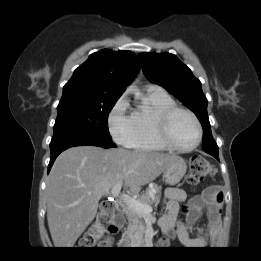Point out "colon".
<instances>
[{"label": "colon", "mask_w": 261, "mask_h": 261, "mask_svg": "<svg viewBox=\"0 0 261 261\" xmlns=\"http://www.w3.org/2000/svg\"><path fill=\"white\" fill-rule=\"evenodd\" d=\"M215 172L213 165L205 158L195 155L191 159L190 173L187 180L192 185H197ZM114 214V205L110 201L102 202L99 213L91 230L81 241L83 248H90L96 244L105 247L110 242L109 237L103 236Z\"/></svg>", "instance_id": "5ec220e1"}]
</instances>
